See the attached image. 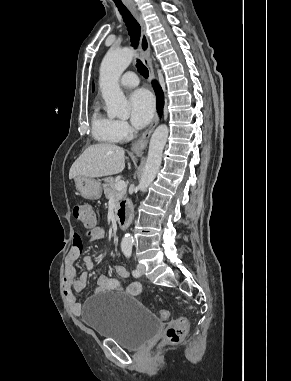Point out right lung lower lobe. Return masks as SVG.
I'll use <instances>...</instances> for the list:
<instances>
[{
	"instance_id": "98d812e1",
	"label": "right lung lower lobe",
	"mask_w": 291,
	"mask_h": 381,
	"mask_svg": "<svg viewBox=\"0 0 291 381\" xmlns=\"http://www.w3.org/2000/svg\"><path fill=\"white\" fill-rule=\"evenodd\" d=\"M153 86H154L156 96H157L158 112H159V114H161L162 109H163V98H164L163 92H162L161 87L158 86L155 81L153 82Z\"/></svg>"
}]
</instances>
